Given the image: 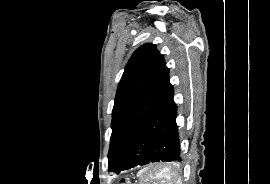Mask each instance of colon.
Returning <instances> with one entry per match:
<instances>
[{"instance_id":"obj_1","label":"colon","mask_w":270,"mask_h":184,"mask_svg":"<svg viewBox=\"0 0 270 184\" xmlns=\"http://www.w3.org/2000/svg\"><path fill=\"white\" fill-rule=\"evenodd\" d=\"M119 184H128V182L125 181V180H123V181H121Z\"/></svg>"}]
</instances>
